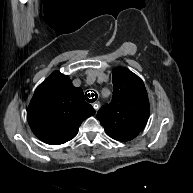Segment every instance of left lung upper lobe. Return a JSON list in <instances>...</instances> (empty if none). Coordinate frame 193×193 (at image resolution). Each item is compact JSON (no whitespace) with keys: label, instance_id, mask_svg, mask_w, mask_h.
<instances>
[{"label":"left lung upper lobe","instance_id":"5c2ea615","mask_svg":"<svg viewBox=\"0 0 193 193\" xmlns=\"http://www.w3.org/2000/svg\"><path fill=\"white\" fill-rule=\"evenodd\" d=\"M112 82V100L98 111L97 118L111 138L130 141L144 129L149 118L147 91L143 81L124 67L113 69Z\"/></svg>","mask_w":193,"mask_h":193}]
</instances>
